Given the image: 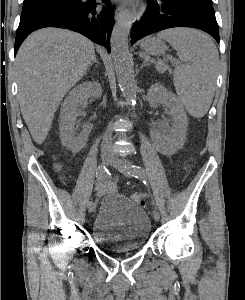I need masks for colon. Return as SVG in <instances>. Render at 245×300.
Listing matches in <instances>:
<instances>
[{
  "label": "colon",
  "mask_w": 245,
  "mask_h": 300,
  "mask_svg": "<svg viewBox=\"0 0 245 300\" xmlns=\"http://www.w3.org/2000/svg\"><path fill=\"white\" fill-rule=\"evenodd\" d=\"M132 199L140 205H143L145 203V195L141 192L134 193L132 195Z\"/></svg>",
  "instance_id": "colon-1"
}]
</instances>
